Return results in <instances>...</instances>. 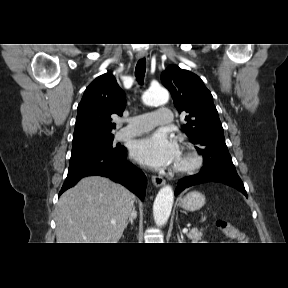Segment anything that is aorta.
I'll use <instances>...</instances> for the list:
<instances>
[{"instance_id":"obj_1","label":"aorta","mask_w":288,"mask_h":288,"mask_svg":"<svg viewBox=\"0 0 288 288\" xmlns=\"http://www.w3.org/2000/svg\"><path fill=\"white\" fill-rule=\"evenodd\" d=\"M169 93L166 89L151 88L147 90L142 100L144 104L148 106L162 105L168 102ZM174 201V192L170 185L162 187L153 204V216L157 226L165 225L171 214L172 206Z\"/></svg>"}]
</instances>
